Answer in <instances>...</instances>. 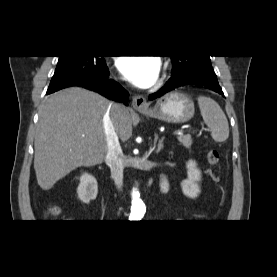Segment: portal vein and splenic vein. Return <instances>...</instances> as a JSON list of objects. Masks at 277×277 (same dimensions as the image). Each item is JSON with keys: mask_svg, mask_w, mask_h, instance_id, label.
Masks as SVG:
<instances>
[{"mask_svg": "<svg viewBox=\"0 0 277 277\" xmlns=\"http://www.w3.org/2000/svg\"><path fill=\"white\" fill-rule=\"evenodd\" d=\"M183 131L182 130H177L173 132V135H182Z\"/></svg>", "mask_w": 277, "mask_h": 277, "instance_id": "1", "label": "portal vein and splenic vein"}]
</instances>
